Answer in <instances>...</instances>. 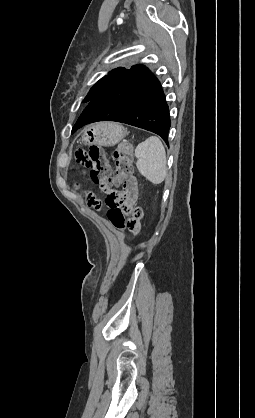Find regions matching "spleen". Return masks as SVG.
<instances>
[{
  "label": "spleen",
  "instance_id": "obj_1",
  "mask_svg": "<svg viewBox=\"0 0 255 418\" xmlns=\"http://www.w3.org/2000/svg\"><path fill=\"white\" fill-rule=\"evenodd\" d=\"M136 166L142 176L153 184L162 183L167 175L166 152L161 140L151 136L135 149Z\"/></svg>",
  "mask_w": 255,
  "mask_h": 418
}]
</instances>
